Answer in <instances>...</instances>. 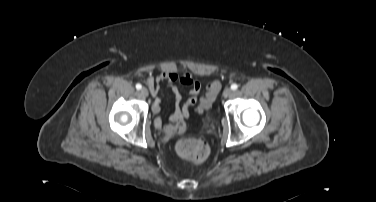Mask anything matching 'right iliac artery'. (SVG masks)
I'll list each match as a JSON object with an SVG mask.
<instances>
[{
	"label": "right iliac artery",
	"instance_id": "1",
	"mask_svg": "<svg viewBox=\"0 0 376 202\" xmlns=\"http://www.w3.org/2000/svg\"><path fill=\"white\" fill-rule=\"evenodd\" d=\"M141 88H142L141 84H139V83L136 84V89H137V90H140Z\"/></svg>",
	"mask_w": 376,
	"mask_h": 202
}]
</instances>
